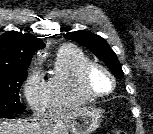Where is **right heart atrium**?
I'll list each match as a JSON object with an SVG mask.
<instances>
[{"label":"right heart atrium","mask_w":153,"mask_h":134,"mask_svg":"<svg viewBox=\"0 0 153 134\" xmlns=\"http://www.w3.org/2000/svg\"><path fill=\"white\" fill-rule=\"evenodd\" d=\"M24 98L29 107L40 112L46 107L45 82L37 69L31 70L23 84Z\"/></svg>","instance_id":"d8ad5b80"}]
</instances>
